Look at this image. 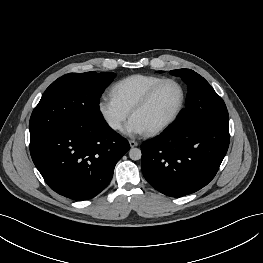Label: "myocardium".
Wrapping results in <instances>:
<instances>
[{
	"label": "myocardium",
	"instance_id": "myocardium-1",
	"mask_svg": "<svg viewBox=\"0 0 263 263\" xmlns=\"http://www.w3.org/2000/svg\"><path fill=\"white\" fill-rule=\"evenodd\" d=\"M165 83H174L175 85L178 86V88L180 89V92H181L180 102H179L178 107L176 108L175 112L171 115L170 118H168L166 121H164L160 125L144 132L147 136H154V135L164 131L168 127H170L178 119V117L180 116L181 112L184 109L186 99H187V91H186V88L183 85V83L181 81H179L178 79H175V78H163L162 80H160L159 82L154 84L143 95V97L131 108L130 116L132 117L137 111L143 109L151 101V99L153 98V96L157 92V90Z\"/></svg>",
	"mask_w": 263,
	"mask_h": 263
}]
</instances>
